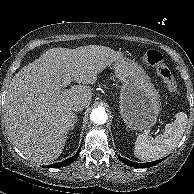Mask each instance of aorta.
Listing matches in <instances>:
<instances>
[{
    "instance_id": "obj_1",
    "label": "aorta",
    "mask_w": 194,
    "mask_h": 194,
    "mask_svg": "<svg viewBox=\"0 0 194 194\" xmlns=\"http://www.w3.org/2000/svg\"><path fill=\"white\" fill-rule=\"evenodd\" d=\"M90 119L95 124L101 125L106 123L108 116L103 107H98L92 110Z\"/></svg>"
}]
</instances>
